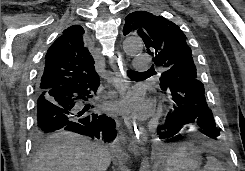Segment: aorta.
<instances>
[{
    "mask_svg": "<svg viewBox=\"0 0 245 171\" xmlns=\"http://www.w3.org/2000/svg\"><path fill=\"white\" fill-rule=\"evenodd\" d=\"M142 48V40L137 37L126 38L123 42V49L129 56L138 54L141 52ZM139 171H150V163L147 157L143 158Z\"/></svg>",
    "mask_w": 245,
    "mask_h": 171,
    "instance_id": "1",
    "label": "aorta"
}]
</instances>
